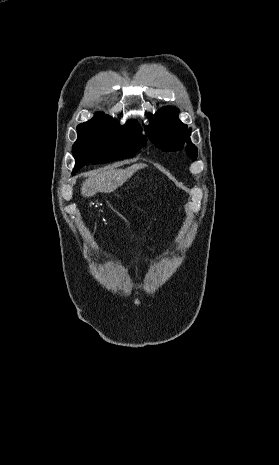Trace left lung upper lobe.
<instances>
[{"instance_id": "1", "label": "left lung upper lobe", "mask_w": 279, "mask_h": 465, "mask_svg": "<svg viewBox=\"0 0 279 465\" xmlns=\"http://www.w3.org/2000/svg\"><path fill=\"white\" fill-rule=\"evenodd\" d=\"M151 142L163 151L181 150L186 143L187 154L195 160L197 148L190 141V130L187 125L178 119V109L164 107L152 118L150 124L145 127Z\"/></svg>"}]
</instances>
